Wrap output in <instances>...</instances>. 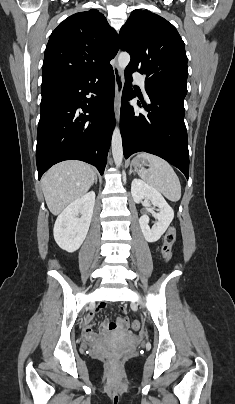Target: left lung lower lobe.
I'll return each instance as SVG.
<instances>
[{"mask_svg": "<svg viewBox=\"0 0 235 404\" xmlns=\"http://www.w3.org/2000/svg\"><path fill=\"white\" fill-rule=\"evenodd\" d=\"M132 72L125 70L126 83L122 93L120 130L125 158L144 151L157 155L179 168L189 177V151L184 123V97L169 91L146 89L149 104L142 98L137 104L148 112L134 111L127 101L136 95L129 85Z\"/></svg>", "mask_w": 235, "mask_h": 404, "instance_id": "0a47b994", "label": "left lung lower lobe"}]
</instances>
